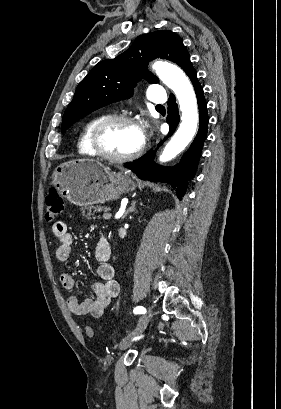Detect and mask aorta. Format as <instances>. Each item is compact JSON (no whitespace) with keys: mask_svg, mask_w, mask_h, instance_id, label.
<instances>
[{"mask_svg":"<svg viewBox=\"0 0 281 409\" xmlns=\"http://www.w3.org/2000/svg\"><path fill=\"white\" fill-rule=\"evenodd\" d=\"M153 68L161 81L176 95L182 112L181 123L159 157L167 162L182 152L193 139L199 121L198 104L193 87L185 73L177 66L157 61Z\"/></svg>","mask_w":281,"mask_h":409,"instance_id":"762f6f07","label":"aorta"}]
</instances>
